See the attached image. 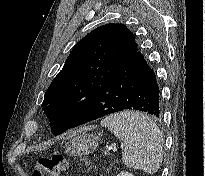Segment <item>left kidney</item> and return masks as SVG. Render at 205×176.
<instances>
[{
  "label": "left kidney",
  "instance_id": "obj_1",
  "mask_svg": "<svg viewBox=\"0 0 205 176\" xmlns=\"http://www.w3.org/2000/svg\"><path fill=\"white\" fill-rule=\"evenodd\" d=\"M117 176H134V175L132 173H130V172L122 171Z\"/></svg>",
  "mask_w": 205,
  "mask_h": 176
}]
</instances>
